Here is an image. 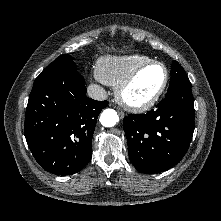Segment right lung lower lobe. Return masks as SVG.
I'll list each match as a JSON object with an SVG mask.
<instances>
[{
  "label": "right lung lower lobe",
  "instance_id": "1",
  "mask_svg": "<svg viewBox=\"0 0 221 221\" xmlns=\"http://www.w3.org/2000/svg\"><path fill=\"white\" fill-rule=\"evenodd\" d=\"M107 101L86 96L84 78H57L31 92L24 133L36 161L46 171L71 175L92 157V137L99 113Z\"/></svg>",
  "mask_w": 221,
  "mask_h": 221
}]
</instances>
